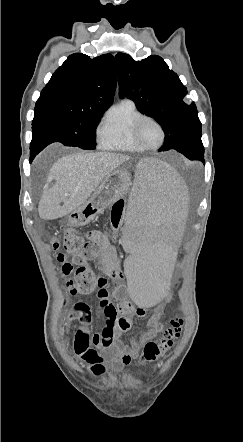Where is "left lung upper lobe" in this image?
Returning a JSON list of instances; mask_svg holds the SVG:
<instances>
[{
    "mask_svg": "<svg viewBox=\"0 0 243 442\" xmlns=\"http://www.w3.org/2000/svg\"><path fill=\"white\" fill-rule=\"evenodd\" d=\"M120 97L134 100L137 109L154 118L165 132L159 151H179L201 140V122L194 102L186 104V87L164 60L151 55L135 61L125 53L115 56Z\"/></svg>",
    "mask_w": 243,
    "mask_h": 442,
    "instance_id": "left-lung-upper-lobe-1",
    "label": "left lung upper lobe"
}]
</instances>
